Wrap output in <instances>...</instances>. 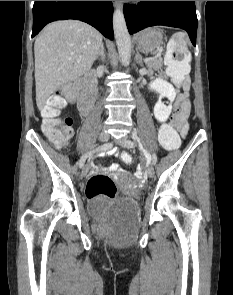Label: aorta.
I'll use <instances>...</instances> for the list:
<instances>
[{
    "label": "aorta",
    "mask_w": 233,
    "mask_h": 295,
    "mask_svg": "<svg viewBox=\"0 0 233 295\" xmlns=\"http://www.w3.org/2000/svg\"><path fill=\"white\" fill-rule=\"evenodd\" d=\"M113 29L121 62L128 66L131 58V39L122 10L116 9L113 14Z\"/></svg>",
    "instance_id": "aorta-1"
}]
</instances>
